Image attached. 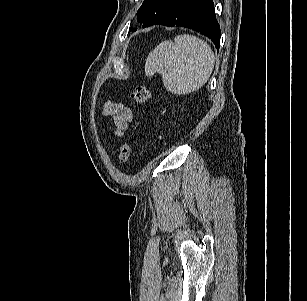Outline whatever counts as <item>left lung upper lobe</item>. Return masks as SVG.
I'll return each instance as SVG.
<instances>
[{
  "label": "left lung upper lobe",
  "mask_w": 307,
  "mask_h": 301,
  "mask_svg": "<svg viewBox=\"0 0 307 301\" xmlns=\"http://www.w3.org/2000/svg\"><path fill=\"white\" fill-rule=\"evenodd\" d=\"M179 0H144L139 8L138 21L143 23V27L155 24L165 16ZM132 31L136 29L131 28Z\"/></svg>",
  "instance_id": "5c2ea615"
}]
</instances>
